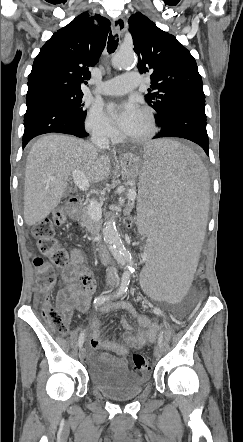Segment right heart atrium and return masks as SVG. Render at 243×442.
I'll return each instance as SVG.
<instances>
[{"mask_svg": "<svg viewBox=\"0 0 243 442\" xmlns=\"http://www.w3.org/2000/svg\"><path fill=\"white\" fill-rule=\"evenodd\" d=\"M85 127L89 133L107 140H115L117 132L98 107H93L87 114Z\"/></svg>", "mask_w": 243, "mask_h": 442, "instance_id": "obj_1", "label": "right heart atrium"}]
</instances>
